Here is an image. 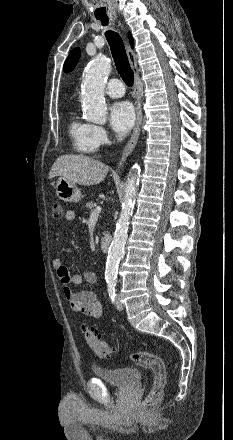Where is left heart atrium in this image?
<instances>
[{
    "label": "left heart atrium",
    "instance_id": "39dd6f15",
    "mask_svg": "<svg viewBox=\"0 0 233 440\" xmlns=\"http://www.w3.org/2000/svg\"><path fill=\"white\" fill-rule=\"evenodd\" d=\"M135 114L130 103L125 101L115 102L109 111L110 127L118 135H125L133 126Z\"/></svg>",
    "mask_w": 233,
    "mask_h": 440
}]
</instances>
